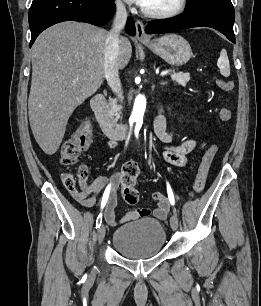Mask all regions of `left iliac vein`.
<instances>
[{
	"mask_svg": "<svg viewBox=\"0 0 261 306\" xmlns=\"http://www.w3.org/2000/svg\"><path fill=\"white\" fill-rule=\"evenodd\" d=\"M170 226L175 231L178 229V216L174 213L170 218Z\"/></svg>",
	"mask_w": 261,
	"mask_h": 306,
	"instance_id": "1",
	"label": "left iliac vein"
}]
</instances>
